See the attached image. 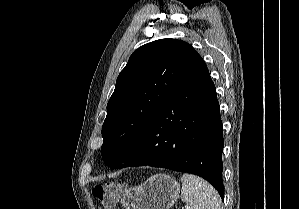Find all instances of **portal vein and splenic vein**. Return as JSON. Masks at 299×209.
I'll return each instance as SVG.
<instances>
[{
  "mask_svg": "<svg viewBox=\"0 0 299 209\" xmlns=\"http://www.w3.org/2000/svg\"><path fill=\"white\" fill-rule=\"evenodd\" d=\"M183 209H189L188 206L186 205Z\"/></svg>",
  "mask_w": 299,
  "mask_h": 209,
  "instance_id": "obj_1",
  "label": "portal vein and splenic vein"
}]
</instances>
